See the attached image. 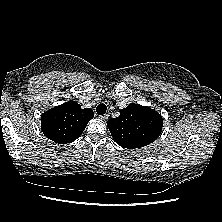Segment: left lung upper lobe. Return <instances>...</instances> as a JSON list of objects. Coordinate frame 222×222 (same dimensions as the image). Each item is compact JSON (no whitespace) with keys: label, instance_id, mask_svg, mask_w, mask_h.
<instances>
[{"label":"left lung upper lobe","instance_id":"5c2ea615","mask_svg":"<svg viewBox=\"0 0 222 222\" xmlns=\"http://www.w3.org/2000/svg\"><path fill=\"white\" fill-rule=\"evenodd\" d=\"M114 141L129 149L141 148L154 142L162 131V116L150 107L135 103L107 121Z\"/></svg>","mask_w":222,"mask_h":222}]
</instances>
